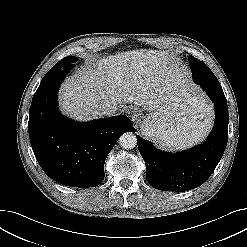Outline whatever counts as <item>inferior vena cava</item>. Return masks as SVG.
Wrapping results in <instances>:
<instances>
[{
	"label": "inferior vena cava",
	"mask_w": 247,
	"mask_h": 247,
	"mask_svg": "<svg viewBox=\"0 0 247 247\" xmlns=\"http://www.w3.org/2000/svg\"><path fill=\"white\" fill-rule=\"evenodd\" d=\"M117 110H119V107L113 103H105L102 106V114L106 116H112L114 115Z\"/></svg>",
	"instance_id": "1"
}]
</instances>
